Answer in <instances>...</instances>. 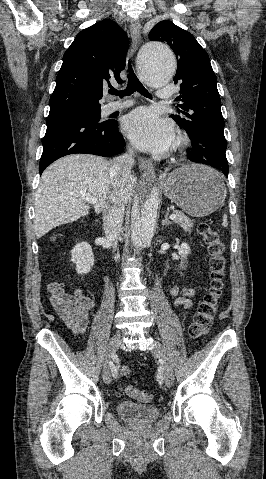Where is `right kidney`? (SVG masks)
<instances>
[{"instance_id":"ca27d5eb","label":"right kidney","mask_w":266,"mask_h":479,"mask_svg":"<svg viewBox=\"0 0 266 479\" xmlns=\"http://www.w3.org/2000/svg\"><path fill=\"white\" fill-rule=\"evenodd\" d=\"M71 257V261L76 264L78 274H87L94 265L92 248L86 242L78 243L71 251Z\"/></svg>"}]
</instances>
